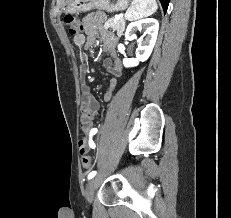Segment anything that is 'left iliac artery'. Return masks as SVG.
Segmentation results:
<instances>
[{
    "label": "left iliac artery",
    "instance_id": "1",
    "mask_svg": "<svg viewBox=\"0 0 231 218\" xmlns=\"http://www.w3.org/2000/svg\"><path fill=\"white\" fill-rule=\"evenodd\" d=\"M97 131H98V129L97 128H93V129H91V131H90V138H89V146H90V148H92V149H95V147H96V145H95V143H94V141L92 140V137H93V135H95L96 133H97ZM96 171H92L89 175H88V179H92L95 175H96Z\"/></svg>",
    "mask_w": 231,
    "mask_h": 218
}]
</instances>
